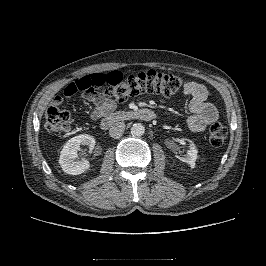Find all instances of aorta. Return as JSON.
<instances>
[{
    "mask_svg": "<svg viewBox=\"0 0 266 266\" xmlns=\"http://www.w3.org/2000/svg\"><path fill=\"white\" fill-rule=\"evenodd\" d=\"M145 133V127L141 123H134L131 127V134L134 136H142Z\"/></svg>",
    "mask_w": 266,
    "mask_h": 266,
    "instance_id": "1",
    "label": "aorta"
}]
</instances>
